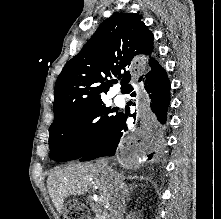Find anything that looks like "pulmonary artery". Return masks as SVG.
Wrapping results in <instances>:
<instances>
[{
  "instance_id": "obj_1",
  "label": "pulmonary artery",
  "mask_w": 221,
  "mask_h": 219,
  "mask_svg": "<svg viewBox=\"0 0 221 219\" xmlns=\"http://www.w3.org/2000/svg\"><path fill=\"white\" fill-rule=\"evenodd\" d=\"M114 101H115V103L118 104V105H121V104L124 102V100H123V98H122L121 96H116V97L114 98Z\"/></svg>"
}]
</instances>
